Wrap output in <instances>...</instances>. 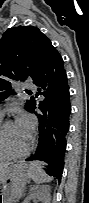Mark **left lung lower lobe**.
<instances>
[{
  "label": "left lung lower lobe",
  "instance_id": "0a47b994",
  "mask_svg": "<svg viewBox=\"0 0 89 203\" xmlns=\"http://www.w3.org/2000/svg\"><path fill=\"white\" fill-rule=\"evenodd\" d=\"M33 81L38 86L36 96L43 95L45 99L38 105L41 112L35 111V102L30 110L39 119V139L37 150L26 161H42L44 172L60 181L71 105L64 62L52 44L46 48L43 64Z\"/></svg>",
  "mask_w": 89,
  "mask_h": 203
}]
</instances>
